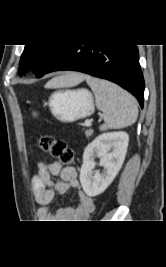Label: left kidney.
<instances>
[{
    "instance_id": "obj_1",
    "label": "left kidney",
    "mask_w": 166,
    "mask_h": 267,
    "mask_svg": "<svg viewBox=\"0 0 166 267\" xmlns=\"http://www.w3.org/2000/svg\"><path fill=\"white\" fill-rule=\"evenodd\" d=\"M129 136L126 132L104 133L96 137L84 150L80 182L84 192L94 197L106 190L119 172L126 153ZM96 157L100 158L102 173H95Z\"/></svg>"
}]
</instances>
